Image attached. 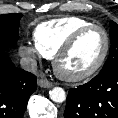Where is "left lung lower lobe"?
<instances>
[{
	"label": "left lung lower lobe",
	"instance_id": "left-lung-lower-lobe-1",
	"mask_svg": "<svg viewBox=\"0 0 118 118\" xmlns=\"http://www.w3.org/2000/svg\"><path fill=\"white\" fill-rule=\"evenodd\" d=\"M65 118H118V67L70 89Z\"/></svg>",
	"mask_w": 118,
	"mask_h": 118
}]
</instances>
